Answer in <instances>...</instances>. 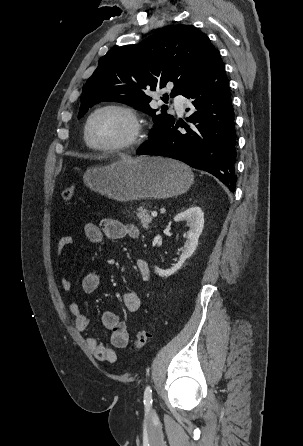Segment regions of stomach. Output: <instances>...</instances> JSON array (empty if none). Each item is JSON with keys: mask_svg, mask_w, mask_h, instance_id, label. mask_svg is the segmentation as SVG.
<instances>
[{"mask_svg": "<svg viewBox=\"0 0 303 446\" xmlns=\"http://www.w3.org/2000/svg\"><path fill=\"white\" fill-rule=\"evenodd\" d=\"M193 178L185 164L162 157L123 158L84 174L87 187L117 201L177 196L190 188Z\"/></svg>", "mask_w": 303, "mask_h": 446, "instance_id": "obj_1", "label": "stomach"}]
</instances>
